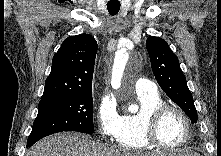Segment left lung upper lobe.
Segmentation results:
<instances>
[{
    "instance_id": "1",
    "label": "left lung upper lobe",
    "mask_w": 221,
    "mask_h": 156,
    "mask_svg": "<svg viewBox=\"0 0 221 156\" xmlns=\"http://www.w3.org/2000/svg\"><path fill=\"white\" fill-rule=\"evenodd\" d=\"M152 71L162 90L186 113L192 123L197 122V111L181 71L177 56L167 42L150 36L146 41Z\"/></svg>"
}]
</instances>
